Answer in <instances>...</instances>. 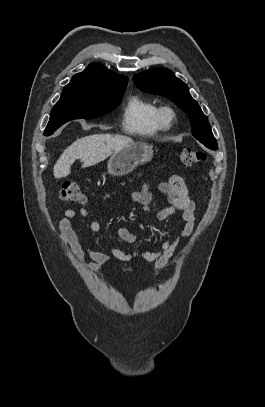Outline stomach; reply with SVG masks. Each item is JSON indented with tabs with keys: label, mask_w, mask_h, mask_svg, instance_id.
Here are the masks:
<instances>
[{
	"label": "stomach",
	"mask_w": 265,
	"mask_h": 407,
	"mask_svg": "<svg viewBox=\"0 0 265 407\" xmlns=\"http://www.w3.org/2000/svg\"><path fill=\"white\" fill-rule=\"evenodd\" d=\"M152 148L144 142H133L113 152L108 161V173L113 176H123L132 172L138 165L152 159Z\"/></svg>",
	"instance_id": "0dacf381"
}]
</instances>
